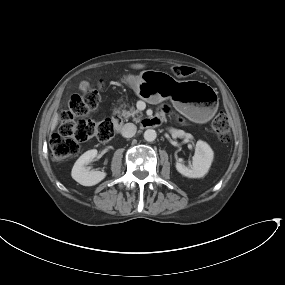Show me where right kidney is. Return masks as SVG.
I'll return each mask as SVG.
<instances>
[{"label": "right kidney", "instance_id": "ca27d5eb", "mask_svg": "<svg viewBox=\"0 0 285 285\" xmlns=\"http://www.w3.org/2000/svg\"><path fill=\"white\" fill-rule=\"evenodd\" d=\"M97 153L96 149L88 150L75 162L71 171V176L79 184L83 186H93L106 177V173L103 171L88 170L86 168V166L97 156Z\"/></svg>", "mask_w": 285, "mask_h": 285}]
</instances>
